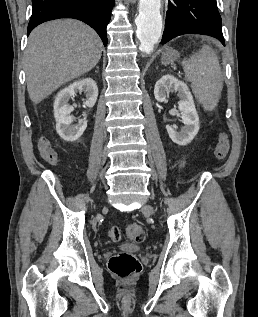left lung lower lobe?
Masks as SVG:
<instances>
[{
  "label": "left lung lower lobe",
  "instance_id": "1",
  "mask_svg": "<svg viewBox=\"0 0 258 317\" xmlns=\"http://www.w3.org/2000/svg\"><path fill=\"white\" fill-rule=\"evenodd\" d=\"M216 0H169L161 43L183 34L217 38L225 46Z\"/></svg>",
  "mask_w": 258,
  "mask_h": 317
}]
</instances>
